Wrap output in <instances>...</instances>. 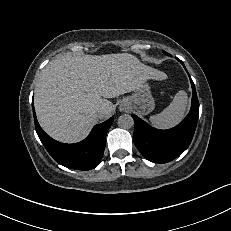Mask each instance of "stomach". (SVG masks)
<instances>
[{"label":"stomach","mask_w":231,"mask_h":231,"mask_svg":"<svg viewBox=\"0 0 231 231\" xmlns=\"http://www.w3.org/2000/svg\"><path fill=\"white\" fill-rule=\"evenodd\" d=\"M126 108L142 115H146L153 111L155 102L151 93V86L147 80L134 90L132 95L123 98L120 109L124 110Z\"/></svg>","instance_id":"stomach-1"}]
</instances>
